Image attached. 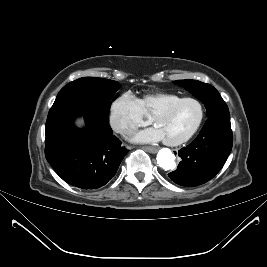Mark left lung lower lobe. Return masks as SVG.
I'll return each instance as SVG.
<instances>
[{
	"label": "left lung lower lobe",
	"mask_w": 267,
	"mask_h": 267,
	"mask_svg": "<svg viewBox=\"0 0 267 267\" xmlns=\"http://www.w3.org/2000/svg\"><path fill=\"white\" fill-rule=\"evenodd\" d=\"M233 136L229 115L208 118L198 137L179 150L182 161L168 174L178 185L192 187L211 180L229 156Z\"/></svg>",
	"instance_id": "0a47b994"
}]
</instances>
